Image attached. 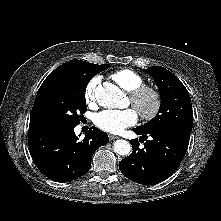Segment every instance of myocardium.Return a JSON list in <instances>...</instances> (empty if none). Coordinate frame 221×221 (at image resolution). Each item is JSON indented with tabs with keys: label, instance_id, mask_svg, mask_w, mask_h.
<instances>
[{
	"label": "myocardium",
	"instance_id": "myocardium-1",
	"mask_svg": "<svg viewBox=\"0 0 221 221\" xmlns=\"http://www.w3.org/2000/svg\"><path fill=\"white\" fill-rule=\"evenodd\" d=\"M146 97L152 99V107L148 111L140 108V104ZM130 102L132 106L138 111L139 115L144 120H153L156 118L162 108L163 97L161 91L152 85H142L130 92Z\"/></svg>",
	"mask_w": 221,
	"mask_h": 221
}]
</instances>
